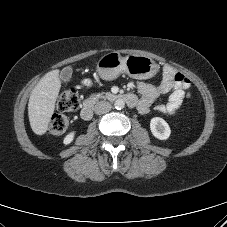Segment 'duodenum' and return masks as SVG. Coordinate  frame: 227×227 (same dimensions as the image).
<instances>
[{
    "instance_id": "duodenum-1",
    "label": "duodenum",
    "mask_w": 227,
    "mask_h": 227,
    "mask_svg": "<svg viewBox=\"0 0 227 227\" xmlns=\"http://www.w3.org/2000/svg\"><path fill=\"white\" fill-rule=\"evenodd\" d=\"M105 98L109 101H116V100H122L127 103L130 107H135L137 105V98L133 94H106ZM93 107H94V100L89 99L87 100L83 108L81 110V117L84 120H90L93 116Z\"/></svg>"
}]
</instances>
